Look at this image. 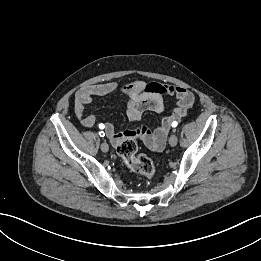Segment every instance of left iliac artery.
<instances>
[{
	"mask_svg": "<svg viewBox=\"0 0 261 261\" xmlns=\"http://www.w3.org/2000/svg\"><path fill=\"white\" fill-rule=\"evenodd\" d=\"M178 125V123L176 122V121H174L173 123H172V127H176Z\"/></svg>",
	"mask_w": 261,
	"mask_h": 261,
	"instance_id": "44dca946",
	"label": "left iliac artery"
}]
</instances>
